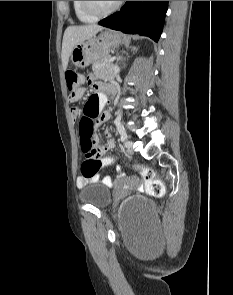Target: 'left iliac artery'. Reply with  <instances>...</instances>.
<instances>
[{"label": "left iliac artery", "instance_id": "obj_1", "mask_svg": "<svg viewBox=\"0 0 233 295\" xmlns=\"http://www.w3.org/2000/svg\"><path fill=\"white\" fill-rule=\"evenodd\" d=\"M126 139H127V138H126ZM130 143H131V142H130L129 140H124V141H123V144H124V145H129Z\"/></svg>", "mask_w": 233, "mask_h": 295}]
</instances>
